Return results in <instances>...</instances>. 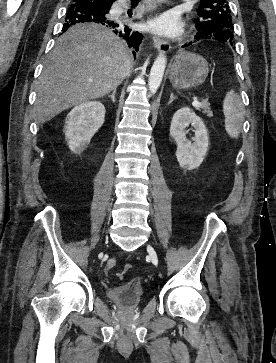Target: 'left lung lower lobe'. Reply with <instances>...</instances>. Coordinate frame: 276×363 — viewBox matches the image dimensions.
Wrapping results in <instances>:
<instances>
[{
    "instance_id": "0a47b994",
    "label": "left lung lower lobe",
    "mask_w": 276,
    "mask_h": 363,
    "mask_svg": "<svg viewBox=\"0 0 276 363\" xmlns=\"http://www.w3.org/2000/svg\"><path fill=\"white\" fill-rule=\"evenodd\" d=\"M207 37L203 34V33H201V32H198L197 33V35L195 36V39L196 40H202V39H206ZM189 45H191V43H188V44H185L184 46H182V47H187V46H189Z\"/></svg>"
}]
</instances>
